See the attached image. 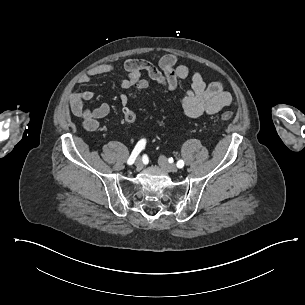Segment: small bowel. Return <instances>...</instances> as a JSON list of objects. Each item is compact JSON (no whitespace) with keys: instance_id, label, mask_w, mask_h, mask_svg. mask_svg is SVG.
<instances>
[{"instance_id":"1","label":"small bowel","mask_w":305,"mask_h":305,"mask_svg":"<svg viewBox=\"0 0 305 305\" xmlns=\"http://www.w3.org/2000/svg\"><path fill=\"white\" fill-rule=\"evenodd\" d=\"M179 57L175 54H166L159 60L158 66L141 58H130L122 61V66L127 76L121 80L123 89H132L136 82L142 78V72L159 85L174 90L180 82H184L190 75L186 65L178 64ZM113 64H98L88 68L86 74L80 77L79 82L87 84L91 77L114 72ZM94 97V92L86 90L74 92L70 95L69 103L72 113L82 120V126L86 131H96L99 120L106 117L111 107L108 103H102L94 109L87 108L85 102ZM123 112L127 107L128 96L122 94L119 98ZM232 102V95L224 89L221 81L214 80L206 83L199 71H194L191 76V84L185 96L181 99L184 114L190 118H198L204 115H214Z\"/></svg>"}]
</instances>
